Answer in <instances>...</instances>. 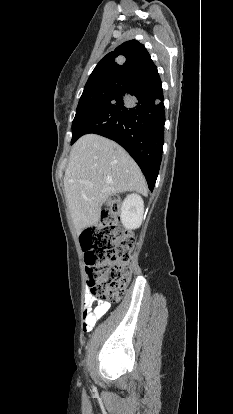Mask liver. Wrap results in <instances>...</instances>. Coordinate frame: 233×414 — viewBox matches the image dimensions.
Returning a JSON list of instances; mask_svg holds the SVG:
<instances>
[{"label":"liver","mask_w":233,"mask_h":414,"mask_svg":"<svg viewBox=\"0 0 233 414\" xmlns=\"http://www.w3.org/2000/svg\"><path fill=\"white\" fill-rule=\"evenodd\" d=\"M64 188L78 233L97 224L109 197L128 191L147 195L146 181L136 162L117 143L97 134H86L73 145Z\"/></svg>","instance_id":"1"}]
</instances>
